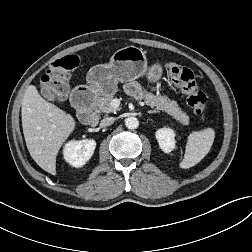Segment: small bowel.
<instances>
[{
    "mask_svg": "<svg viewBox=\"0 0 252 252\" xmlns=\"http://www.w3.org/2000/svg\"><path fill=\"white\" fill-rule=\"evenodd\" d=\"M127 90L130 93H133V94H138L139 93V87L134 83L129 84L128 87H127Z\"/></svg>",
    "mask_w": 252,
    "mask_h": 252,
    "instance_id": "c3829d8e",
    "label": "small bowel"
}]
</instances>
